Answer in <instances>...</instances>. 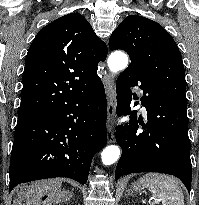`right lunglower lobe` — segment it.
Masks as SVG:
<instances>
[{"instance_id":"1","label":"right lung lower lobe","mask_w":199,"mask_h":205,"mask_svg":"<svg viewBox=\"0 0 199 205\" xmlns=\"http://www.w3.org/2000/svg\"><path fill=\"white\" fill-rule=\"evenodd\" d=\"M106 116V96L100 79L17 126L9 191L20 183L54 177L86 184L92 158L106 144Z\"/></svg>"}]
</instances>
